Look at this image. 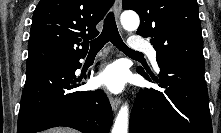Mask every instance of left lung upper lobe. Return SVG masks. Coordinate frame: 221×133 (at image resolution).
I'll use <instances>...</instances> for the list:
<instances>
[{
    "label": "left lung upper lobe",
    "instance_id": "obj_1",
    "mask_svg": "<svg viewBox=\"0 0 221 133\" xmlns=\"http://www.w3.org/2000/svg\"><path fill=\"white\" fill-rule=\"evenodd\" d=\"M123 9L139 14L137 34L151 38L158 62L188 60L204 64L196 0H123Z\"/></svg>",
    "mask_w": 221,
    "mask_h": 133
}]
</instances>
